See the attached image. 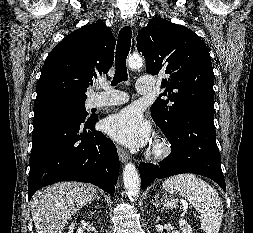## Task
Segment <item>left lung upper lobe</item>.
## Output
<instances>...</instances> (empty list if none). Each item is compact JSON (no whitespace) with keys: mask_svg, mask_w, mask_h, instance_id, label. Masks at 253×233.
<instances>
[{"mask_svg":"<svg viewBox=\"0 0 253 233\" xmlns=\"http://www.w3.org/2000/svg\"><path fill=\"white\" fill-rule=\"evenodd\" d=\"M137 49L152 75L167 74L166 88L151 106V116L166 136L177 131L179 121L197 114L214 116V73L209 51L190 29L161 17L151 19L137 38Z\"/></svg>","mask_w":253,"mask_h":233,"instance_id":"5c2ea615","label":"left lung upper lobe"}]
</instances>
